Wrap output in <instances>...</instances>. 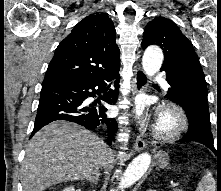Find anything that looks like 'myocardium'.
<instances>
[{"mask_svg":"<svg viewBox=\"0 0 221 191\" xmlns=\"http://www.w3.org/2000/svg\"><path fill=\"white\" fill-rule=\"evenodd\" d=\"M166 119L168 123L162 124ZM188 120L184 111L176 104L167 103L159 111V119L154 128V135L162 140L170 141L178 138L187 128Z\"/></svg>","mask_w":221,"mask_h":191,"instance_id":"f54148a6","label":"myocardium"}]
</instances>
